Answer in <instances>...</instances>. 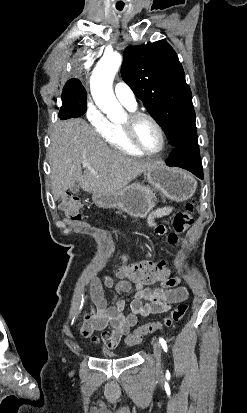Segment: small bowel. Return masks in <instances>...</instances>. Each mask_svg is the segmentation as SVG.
<instances>
[{"mask_svg": "<svg viewBox=\"0 0 247 413\" xmlns=\"http://www.w3.org/2000/svg\"><path fill=\"white\" fill-rule=\"evenodd\" d=\"M172 211L171 206L155 209L148 217L149 225L157 233H163L165 228L158 223V219L170 215ZM115 281L110 276L103 278L106 288L113 289L119 295L132 294L130 303L127 305L124 300L119 299L113 306H108L102 282L94 280L89 297L90 307L84 312L83 320L76 324L82 337L95 343H103L108 348L116 347L122 337L128 335L131 328L137 325L139 317L165 313L175 304L189 298L188 290L178 286L180 280L177 277H161V287L155 289H138V282H123L122 274H117ZM95 331H103V334L96 337L93 335Z\"/></svg>", "mask_w": 247, "mask_h": 413, "instance_id": "small-bowel-1", "label": "small bowel"}]
</instances>
